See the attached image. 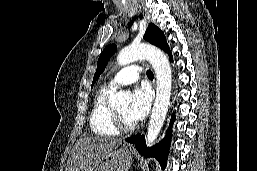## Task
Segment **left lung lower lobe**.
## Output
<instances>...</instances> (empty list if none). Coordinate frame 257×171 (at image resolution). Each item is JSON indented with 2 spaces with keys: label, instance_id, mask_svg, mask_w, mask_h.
<instances>
[{
  "label": "left lung lower lobe",
  "instance_id": "left-lung-lower-lobe-1",
  "mask_svg": "<svg viewBox=\"0 0 257 171\" xmlns=\"http://www.w3.org/2000/svg\"><path fill=\"white\" fill-rule=\"evenodd\" d=\"M168 54L171 61H173L171 52ZM172 119H174V116L172 117ZM170 137H171V129L167 131V136L160 143L156 144L151 148H147L145 144V137L144 135H141V134L127 138L126 141L130 143H134L136 149L145 157L156 158L160 162L161 167L164 169L166 167V162H167Z\"/></svg>",
  "mask_w": 257,
  "mask_h": 171
}]
</instances>
